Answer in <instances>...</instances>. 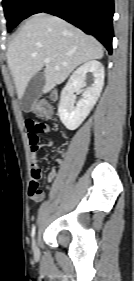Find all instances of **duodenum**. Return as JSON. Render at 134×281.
I'll list each match as a JSON object with an SVG mask.
<instances>
[{"mask_svg": "<svg viewBox=\"0 0 134 281\" xmlns=\"http://www.w3.org/2000/svg\"><path fill=\"white\" fill-rule=\"evenodd\" d=\"M51 98H52V99H56V98H57V92H56V91H53V92H52Z\"/></svg>", "mask_w": 134, "mask_h": 281, "instance_id": "duodenum-1", "label": "duodenum"}]
</instances>
